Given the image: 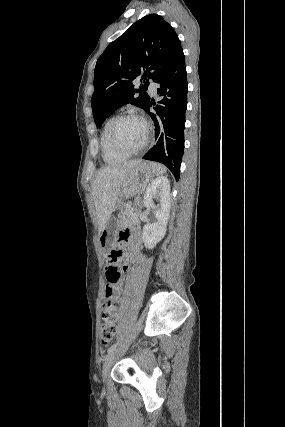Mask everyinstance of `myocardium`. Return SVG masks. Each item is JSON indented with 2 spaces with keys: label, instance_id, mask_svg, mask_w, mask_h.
<instances>
[{
  "label": "myocardium",
  "instance_id": "f54148a6",
  "mask_svg": "<svg viewBox=\"0 0 285 427\" xmlns=\"http://www.w3.org/2000/svg\"><path fill=\"white\" fill-rule=\"evenodd\" d=\"M126 119L139 120L145 125V128H146V135H145L143 142L138 147H136L134 149H127L126 147L121 145L116 138V130H117L118 125L120 124V122H122L123 120H126ZM150 131H151L150 123L143 116H141L137 113L127 112V113H123V114L115 117L114 121L111 124L110 130H109V141H110L111 146L117 152H120V153H123L126 155H133V154H136V153L142 151L147 146V144L149 143V139H150Z\"/></svg>",
  "mask_w": 285,
  "mask_h": 427
}]
</instances>
